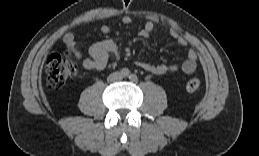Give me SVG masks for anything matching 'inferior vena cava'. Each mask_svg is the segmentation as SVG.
<instances>
[{"instance_id":"obj_1","label":"inferior vena cava","mask_w":259,"mask_h":156,"mask_svg":"<svg viewBox=\"0 0 259 156\" xmlns=\"http://www.w3.org/2000/svg\"><path fill=\"white\" fill-rule=\"evenodd\" d=\"M123 78L122 74L120 72H114L109 75L108 80L113 82V81H118Z\"/></svg>"}]
</instances>
